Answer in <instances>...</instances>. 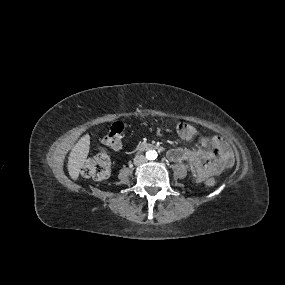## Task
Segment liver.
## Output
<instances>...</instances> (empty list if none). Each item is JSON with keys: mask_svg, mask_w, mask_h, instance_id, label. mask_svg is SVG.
<instances>
[{"mask_svg": "<svg viewBox=\"0 0 285 285\" xmlns=\"http://www.w3.org/2000/svg\"><path fill=\"white\" fill-rule=\"evenodd\" d=\"M90 149V136L84 135L73 146L68 158V172L73 180H77L80 169L84 165Z\"/></svg>", "mask_w": 285, "mask_h": 285, "instance_id": "obj_1", "label": "liver"}]
</instances>
